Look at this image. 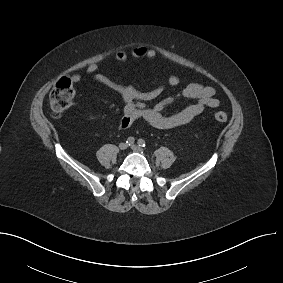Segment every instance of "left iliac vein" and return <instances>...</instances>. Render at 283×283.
I'll list each match as a JSON object with an SVG mask.
<instances>
[{"instance_id":"1","label":"left iliac vein","mask_w":283,"mask_h":283,"mask_svg":"<svg viewBox=\"0 0 283 283\" xmlns=\"http://www.w3.org/2000/svg\"><path fill=\"white\" fill-rule=\"evenodd\" d=\"M132 150L135 151V152H140L142 153L143 152V148L138 146V145H132L131 146Z\"/></svg>"}]
</instances>
